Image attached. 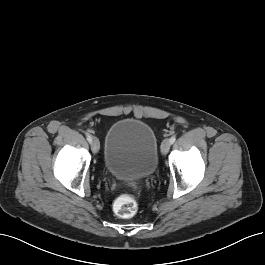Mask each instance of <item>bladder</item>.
Returning a JSON list of instances; mask_svg holds the SVG:
<instances>
[{
  "label": "bladder",
  "instance_id": "obj_1",
  "mask_svg": "<svg viewBox=\"0 0 265 265\" xmlns=\"http://www.w3.org/2000/svg\"><path fill=\"white\" fill-rule=\"evenodd\" d=\"M107 171L124 180H145L158 164V142L153 128L135 118L115 121L107 131L104 149Z\"/></svg>",
  "mask_w": 265,
  "mask_h": 265
}]
</instances>
